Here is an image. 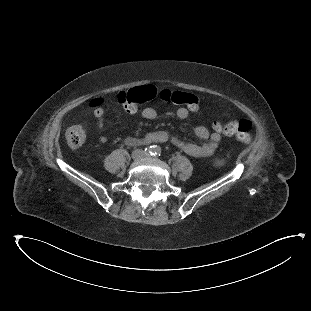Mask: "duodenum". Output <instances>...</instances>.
<instances>
[{"instance_id": "410a0bca", "label": "duodenum", "mask_w": 311, "mask_h": 311, "mask_svg": "<svg viewBox=\"0 0 311 311\" xmlns=\"http://www.w3.org/2000/svg\"><path fill=\"white\" fill-rule=\"evenodd\" d=\"M132 142L134 144H137V145H148V144H151L147 140H144V139H141V138L133 139Z\"/></svg>"}]
</instances>
